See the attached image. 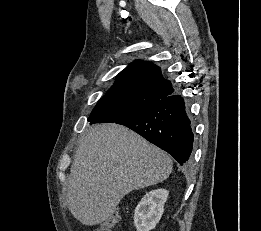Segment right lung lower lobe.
<instances>
[{"label":"right lung lower lobe","instance_id":"1","mask_svg":"<svg viewBox=\"0 0 261 231\" xmlns=\"http://www.w3.org/2000/svg\"><path fill=\"white\" fill-rule=\"evenodd\" d=\"M115 123L127 126L165 150L180 165L190 163L193 127L180 95L163 98L151 107Z\"/></svg>","mask_w":261,"mask_h":231}]
</instances>
